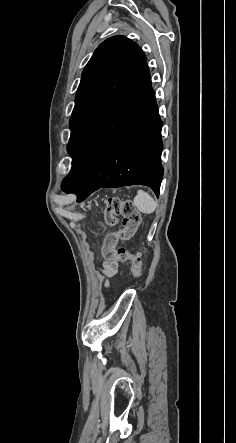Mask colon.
Instances as JSON below:
<instances>
[{"label":"colon","mask_w":236,"mask_h":443,"mask_svg":"<svg viewBox=\"0 0 236 443\" xmlns=\"http://www.w3.org/2000/svg\"><path fill=\"white\" fill-rule=\"evenodd\" d=\"M119 216L123 217V228L105 236L102 255L106 262H129L131 274L134 277H139L141 276L142 265L140 255L130 253L120 246V243L129 240L134 235L140 224V213L130 200H122L117 197L109 198L105 210L107 225L114 227L118 222Z\"/></svg>","instance_id":"colon-1"}]
</instances>
